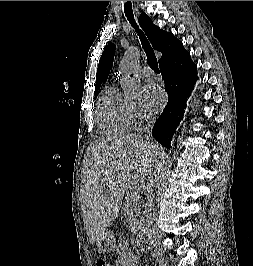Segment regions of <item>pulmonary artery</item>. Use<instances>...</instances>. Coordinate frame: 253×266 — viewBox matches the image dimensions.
Returning a JSON list of instances; mask_svg holds the SVG:
<instances>
[{"mask_svg":"<svg viewBox=\"0 0 253 266\" xmlns=\"http://www.w3.org/2000/svg\"><path fill=\"white\" fill-rule=\"evenodd\" d=\"M140 74L141 77L146 81H152L155 78L154 71L150 67H144Z\"/></svg>","mask_w":253,"mask_h":266,"instance_id":"e3ab8cb5","label":"pulmonary artery"}]
</instances>
